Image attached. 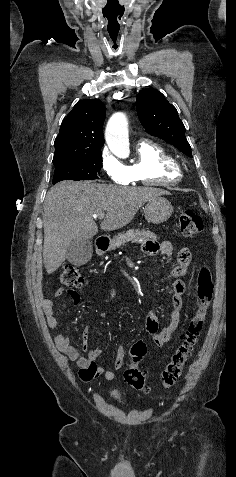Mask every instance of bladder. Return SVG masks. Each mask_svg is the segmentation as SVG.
Wrapping results in <instances>:
<instances>
[{"mask_svg": "<svg viewBox=\"0 0 236 477\" xmlns=\"http://www.w3.org/2000/svg\"><path fill=\"white\" fill-rule=\"evenodd\" d=\"M115 399H120L121 398V393L120 392H116L113 396Z\"/></svg>", "mask_w": 236, "mask_h": 477, "instance_id": "obj_1", "label": "bladder"}]
</instances>
